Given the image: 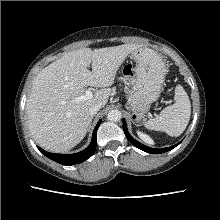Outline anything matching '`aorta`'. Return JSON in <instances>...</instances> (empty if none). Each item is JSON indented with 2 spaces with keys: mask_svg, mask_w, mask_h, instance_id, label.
I'll return each instance as SVG.
<instances>
[{
  "mask_svg": "<svg viewBox=\"0 0 220 220\" xmlns=\"http://www.w3.org/2000/svg\"><path fill=\"white\" fill-rule=\"evenodd\" d=\"M121 117H122V114L117 109L111 110L107 114V119L111 122H118L120 121Z\"/></svg>",
  "mask_w": 220,
  "mask_h": 220,
  "instance_id": "obj_1",
  "label": "aorta"
}]
</instances>
